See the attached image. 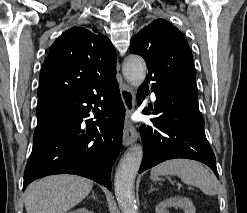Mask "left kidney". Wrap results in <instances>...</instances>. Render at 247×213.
Wrapping results in <instances>:
<instances>
[{"label":"left kidney","instance_id":"5707ae66","mask_svg":"<svg viewBox=\"0 0 247 213\" xmlns=\"http://www.w3.org/2000/svg\"><path fill=\"white\" fill-rule=\"evenodd\" d=\"M171 207L182 208L185 213H196L192 201L185 197H174L160 202L156 206V213H168Z\"/></svg>","mask_w":247,"mask_h":213}]
</instances>
